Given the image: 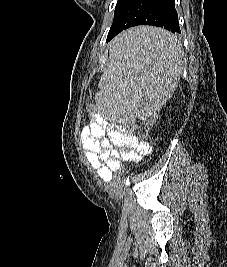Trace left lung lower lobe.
<instances>
[{
  "label": "left lung lower lobe",
  "mask_w": 227,
  "mask_h": 267,
  "mask_svg": "<svg viewBox=\"0 0 227 267\" xmlns=\"http://www.w3.org/2000/svg\"><path fill=\"white\" fill-rule=\"evenodd\" d=\"M137 25L163 27L172 33H181L174 0H127L114 12V20L107 42L127 28ZM152 39H140L133 44L137 50L156 45Z\"/></svg>",
  "instance_id": "1"
}]
</instances>
